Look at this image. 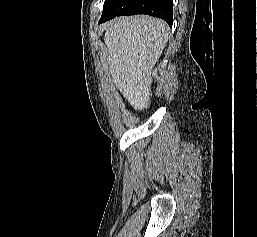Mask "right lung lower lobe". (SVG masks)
<instances>
[{"label": "right lung lower lobe", "instance_id": "1", "mask_svg": "<svg viewBox=\"0 0 257 237\" xmlns=\"http://www.w3.org/2000/svg\"><path fill=\"white\" fill-rule=\"evenodd\" d=\"M173 0H114L103 8L100 22H106L116 16L147 14L173 23Z\"/></svg>", "mask_w": 257, "mask_h": 237}]
</instances>
